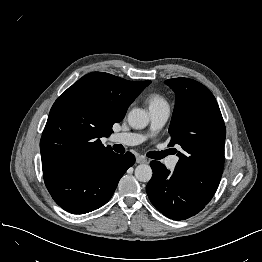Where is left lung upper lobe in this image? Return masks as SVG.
<instances>
[{
  "label": "left lung upper lobe",
  "instance_id": "left-lung-upper-lobe-1",
  "mask_svg": "<svg viewBox=\"0 0 262 262\" xmlns=\"http://www.w3.org/2000/svg\"><path fill=\"white\" fill-rule=\"evenodd\" d=\"M165 83L176 93L169 145L183 149L177 154L174 175L208 204L224 167L226 129L219 106L210 90L195 80L174 78Z\"/></svg>",
  "mask_w": 262,
  "mask_h": 262
}]
</instances>
